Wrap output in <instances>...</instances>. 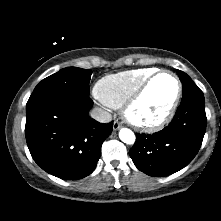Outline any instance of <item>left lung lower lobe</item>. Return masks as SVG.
<instances>
[{"instance_id":"left-lung-lower-lobe-1","label":"left lung lower lobe","mask_w":221,"mask_h":221,"mask_svg":"<svg viewBox=\"0 0 221 221\" xmlns=\"http://www.w3.org/2000/svg\"><path fill=\"white\" fill-rule=\"evenodd\" d=\"M205 101L181 102L172 122L162 131L138 134L130 150L135 166L147 175L161 177L187 166L198 153L206 131Z\"/></svg>"}]
</instances>
